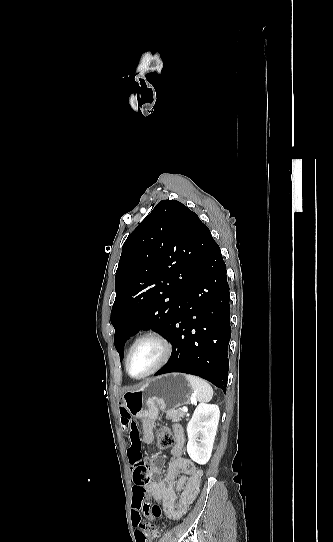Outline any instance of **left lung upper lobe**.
I'll return each mask as SVG.
<instances>
[{"mask_svg":"<svg viewBox=\"0 0 333 542\" xmlns=\"http://www.w3.org/2000/svg\"><path fill=\"white\" fill-rule=\"evenodd\" d=\"M213 241L197 214L176 200L160 201L127 238L111 311L120 359L125 342L139 330L170 334Z\"/></svg>","mask_w":333,"mask_h":542,"instance_id":"obj_1","label":"left lung upper lobe"}]
</instances>
